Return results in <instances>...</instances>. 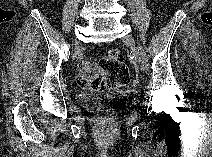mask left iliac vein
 I'll return each mask as SVG.
<instances>
[{
    "mask_svg": "<svg viewBox=\"0 0 212 157\" xmlns=\"http://www.w3.org/2000/svg\"><path fill=\"white\" fill-rule=\"evenodd\" d=\"M123 41L131 48V52L135 58V61L141 66L143 71H146L144 69L143 63H142V58L141 55L138 51V48L136 47L135 40L131 34H128L124 36Z\"/></svg>",
    "mask_w": 212,
    "mask_h": 157,
    "instance_id": "obj_1",
    "label": "left iliac vein"
}]
</instances>
